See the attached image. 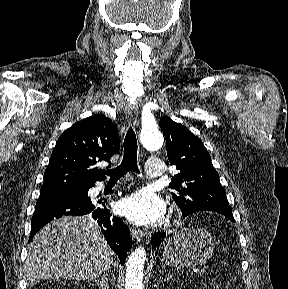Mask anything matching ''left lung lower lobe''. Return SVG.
<instances>
[{
  "mask_svg": "<svg viewBox=\"0 0 288 289\" xmlns=\"http://www.w3.org/2000/svg\"><path fill=\"white\" fill-rule=\"evenodd\" d=\"M183 217H186V215H183ZM166 233H157L152 236V246L153 248H156L157 246L160 245V243L163 241L165 238Z\"/></svg>",
  "mask_w": 288,
  "mask_h": 289,
  "instance_id": "0a47b994",
  "label": "left lung lower lobe"
}]
</instances>
